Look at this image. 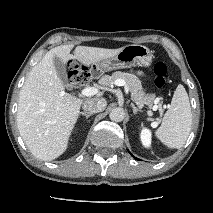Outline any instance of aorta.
Masks as SVG:
<instances>
[{"instance_id":"1","label":"aorta","mask_w":213,"mask_h":213,"mask_svg":"<svg viewBox=\"0 0 213 213\" xmlns=\"http://www.w3.org/2000/svg\"><path fill=\"white\" fill-rule=\"evenodd\" d=\"M109 117L112 121L121 122L125 117V112L123 108L118 107L111 110Z\"/></svg>"}]
</instances>
